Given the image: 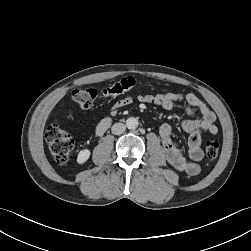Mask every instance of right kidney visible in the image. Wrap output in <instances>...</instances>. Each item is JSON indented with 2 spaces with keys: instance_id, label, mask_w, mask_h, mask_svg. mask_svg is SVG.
Masks as SVG:
<instances>
[{
  "instance_id": "ca27d5eb",
  "label": "right kidney",
  "mask_w": 251,
  "mask_h": 251,
  "mask_svg": "<svg viewBox=\"0 0 251 251\" xmlns=\"http://www.w3.org/2000/svg\"><path fill=\"white\" fill-rule=\"evenodd\" d=\"M90 150L89 149H83L81 150L79 153H78V156H77V162L79 164H83L85 163L89 157H90Z\"/></svg>"
}]
</instances>
